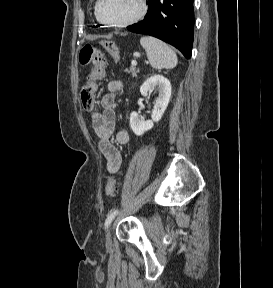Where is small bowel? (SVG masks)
<instances>
[{
	"instance_id": "small-bowel-1",
	"label": "small bowel",
	"mask_w": 273,
	"mask_h": 288,
	"mask_svg": "<svg viewBox=\"0 0 273 288\" xmlns=\"http://www.w3.org/2000/svg\"><path fill=\"white\" fill-rule=\"evenodd\" d=\"M123 88L119 80L109 82L107 91L100 98L102 111L92 113V127L99 138L98 147L106 160V167L109 173L115 174L120 169L122 158L118 148L112 143L111 136L115 130L114 102ZM116 142L120 145L129 141V134L121 129L116 132Z\"/></svg>"
}]
</instances>
